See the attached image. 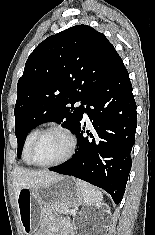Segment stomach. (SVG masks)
Wrapping results in <instances>:
<instances>
[{
  "mask_svg": "<svg viewBox=\"0 0 155 235\" xmlns=\"http://www.w3.org/2000/svg\"><path fill=\"white\" fill-rule=\"evenodd\" d=\"M82 201L76 180L68 176H61L46 187L22 188L17 196V209L25 235H46L40 230L45 207L70 209Z\"/></svg>",
  "mask_w": 155,
  "mask_h": 235,
  "instance_id": "1",
  "label": "stomach"
}]
</instances>
